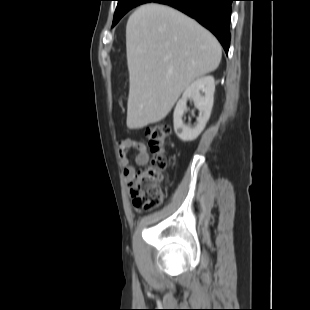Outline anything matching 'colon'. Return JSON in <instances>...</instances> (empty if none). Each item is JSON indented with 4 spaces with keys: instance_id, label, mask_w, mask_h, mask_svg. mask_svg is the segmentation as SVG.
I'll list each match as a JSON object with an SVG mask.
<instances>
[{
    "instance_id": "5ec220e1",
    "label": "colon",
    "mask_w": 310,
    "mask_h": 310,
    "mask_svg": "<svg viewBox=\"0 0 310 310\" xmlns=\"http://www.w3.org/2000/svg\"><path fill=\"white\" fill-rule=\"evenodd\" d=\"M171 129L166 124H155L146 131L148 146L152 152L150 162L138 169L129 184L133 204L144 210H152L160 206L164 197L161 186L167 167L164 146Z\"/></svg>"
}]
</instances>
